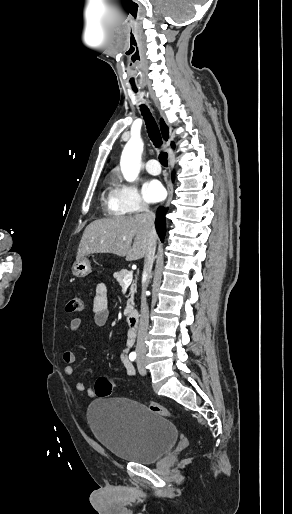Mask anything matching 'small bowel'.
Masks as SVG:
<instances>
[{
    "label": "small bowel",
    "mask_w": 292,
    "mask_h": 514,
    "mask_svg": "<svg viewBox=\"0 0 292 514\" xmlns=\"http://www.w3.org/2000/svg\"><path fill=\"white\" fill-rule=\"evenodd\" d=\"M90 313L92 314V320L95 326L102 327L104 326L109 317H110V309L108 304V288L105 283H98L95 287V294L93 297V301L90 307ZM83 320L80 317H75L70 321V329L73 332L78 331L82 326ZM63 361L66 366L64 368V372L68 376H73L75 374V368L73 364L76 362V354L72 350H65L63 352ZM121 362L128 376L135 375V369L132 363L129 361L126 354L121 355ZM75 389L78 392L86 391L89 396H94V390L92 388H87L85 383L81 380L75 382Z\"/></svg>",
    "instance_id": "1"
}]
</instances>
